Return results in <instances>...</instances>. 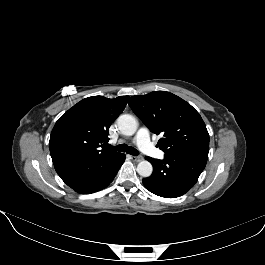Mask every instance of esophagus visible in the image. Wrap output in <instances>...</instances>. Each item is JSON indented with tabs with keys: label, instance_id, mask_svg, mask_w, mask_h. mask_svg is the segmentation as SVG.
Instances as JSON below:
<instances>
[{
	"label": "esophagus",
	"instance_id": "obj_1",
	"mask_svg": "<svg viewBox=\"0 0 265 265\" xmlns=\"http://www.w3.org/2000/svg\"><path fill=\"white\" fill-rule=\"evenodd\" d=\"M132 159H133L134 161H136V162H139V161L142 160V157H140V156H132Z\"/></svg>",
	"mask_w": 265,
	"mask_h": 265
}]
</instances>
